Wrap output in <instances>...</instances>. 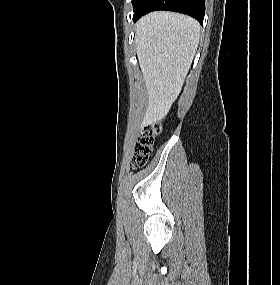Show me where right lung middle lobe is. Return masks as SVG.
Listing matches in <instances>:
<instances>
[{
    "mask_svg": "<svg viewBox=\"0 0 280 285\" xmlns=\"http://www.w3.org/2000/svg\"><path fill=\"white\" fill-rule=\"evenodd\" d=\"M142 0H132L133 3V11L136 10V8L138 7V5L141 3Z\"/></svg>",
    "mask_w": 280,
    "mask_h": 285,
    "instance_id": "obj_1",
    "label": "right lung middle lobe"
}]
</instances>
